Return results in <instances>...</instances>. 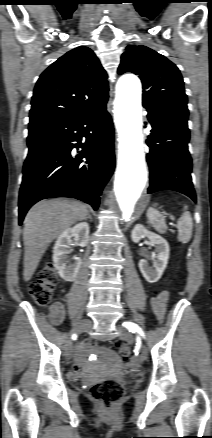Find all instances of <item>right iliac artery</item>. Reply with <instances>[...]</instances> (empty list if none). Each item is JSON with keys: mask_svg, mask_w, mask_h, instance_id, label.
<instances>
[{"mask_svg": "<svg viewBox=\"0 0 212 438\" xmlns=\"http://www.w3.org/2000/svg\"><path fill=\"white\" fill-rule=\"evenodd\" d=\"M76 337H77L76 334H73V335H72V338H76Z\"/></svg>", "mask_w": 212, "mask_h": 438, "instance_id": "obj_1", "label": "right iliac artery"}]
</instances>
